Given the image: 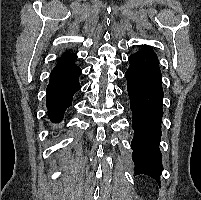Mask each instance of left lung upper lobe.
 <instances>
[{
	"label": "left lung upper lobe",
	"mask_w": 201,
	"mask_h": 200,
	"mask_svg": "<svg viewBox=\"0 0 201 200\" xmlns=\"http://www.w3.org/2000/svg\"><path fill=\"white\" fill-rule=\"evenodd\" d=\"M138 52H153V50L150 49V48L147 49V46L144 45V49H142V50H140V51H138Z\"/></svg>",
	"instance_id": "obj_1"
}]
</instances>
